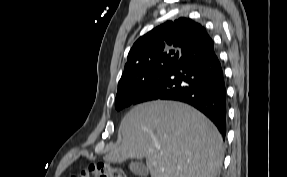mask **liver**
<instances>
[{"label": "liver", "instance_id": "6515ba94", "mask_svg": "<svg viewBox=\"0 0 287 177\" xmlns=\"http://www.w3.org/2000/svg\"><path fill=\"white\" fill-rule=\"evenodd\" d=\"M121 142L104 160L146 158L151 177H216L223 140L214 124L189 105L151 101L131 109L119 127Z\"/></svg>", "mask_w": 287, "mask_h": 177}]
</instances>
